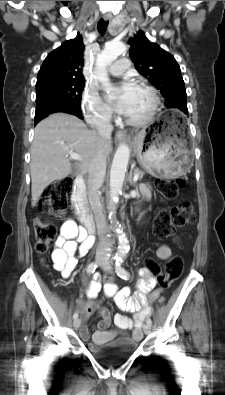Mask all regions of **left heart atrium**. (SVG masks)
I'll list each match as a JSON object with an SVG mask.
<instances>
[{"instance_id":"39dd6f15","label":"left heart atrium","mask_w":225,"mask_h":395,"mask_svg":"<svg viewBox=\"0 0 225 395\" xmlns=\"http://www.w3.org/2000/svg\"><path fill=\"white\" fill-rule=\"evenodd\" d=\"M137 93V87L129 82L123 83L119 90L108 96L111 107L122 115H128L132 109Z\"/></svg>"}]
</instances>
